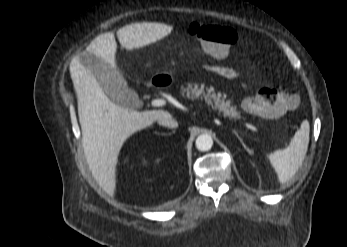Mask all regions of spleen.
<instances>
[{
	"mask_svg": "<svg viewBox=\"0 0 347 247\" xmlns=\"http://www.w3.org/2000/svg\"><path fill=\"white\" fill-rule=\"evenodd\" d=\"M309 131V123L304 120L287 148L276 150L267 156L281 184L287 183L302 165L308 149Z\"/></svg>",
	"mask_w": 347,
	"mask_h": 247,
	"instance_id": "spleen-1",
	"label": "spleen"
}]
</instances>
